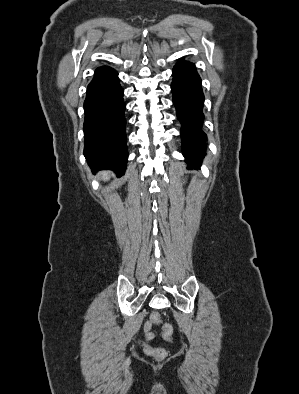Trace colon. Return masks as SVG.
Listing matches in <instances>:
<instances>
[{
    "instance_id": "colon-1",
    "label": "colon",
    "mask_w": 299,
    "mask_h": 394,
    "mask_svg": "<svg viewBox=\"0 0 299 394\" xmlns=\"http://www.w3.org/2000/svg\"><path fill=\"white\" fill-rule=\"evenodd\" d=\"M151 318L154 323L161 324L160 313L153 312L151 314ZM161 329H162V335H163L164 339L167 341H171L172 340V333H173L172 326L170 324H163L161 326ZM144 350L148 356L154 358L157 361H161V360L165 359L167 356V352L164 348L155 347L150 344L145 345Z\"/></svg>"
}]
</instances>
